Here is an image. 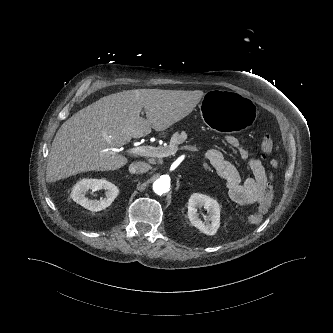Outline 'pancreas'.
<instances>
[{"label":"pancreas","mask_w":333,"mask_h":333,"mask_svg":"<svg viewBox=\"0 0 333 333\" xmlns=\"http://www.w3.org/2000/svg\"><path fill=\"white\" fill-rule=\"evenodd\" d=\"M187 139V134L182 131L181 133H174L171 137L170 144L166 148L174 147L177 148V145L183 143Z\"/></svg>","instance_id":"cf45deb5"}]
</instances>
